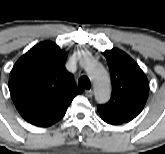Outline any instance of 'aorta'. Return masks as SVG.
<instances>
[{"label":"aorta","instance_id":"762f6f07","mask_svg":"<svg viewBox=\"0 0 165 154\" xmlns=\"http://www.w3.org/2000/svg\"><path fill=\"white\" fill-rule=\"evenodd\" d=\"M84 68L95 88V99L98 103H106L111 94L110 78L104 67L92 59L84 60Z\"/></svg>","mask_w":165,"mask_h":154}]
</instances>
